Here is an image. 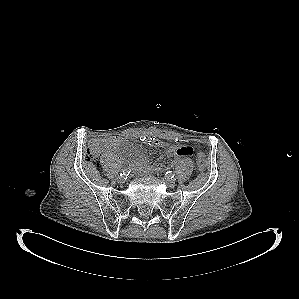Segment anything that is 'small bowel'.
<instances>
[{
	"label": "small bowel",
	"mask_w": 299,
	"mask_h": 299,
	"mask_svg": "<svg viewBox=\"0 0 299 299\" xmlns=\"http://www.w3.org/2000/svg\"><path fill=\"white\" fill-rule=\"evenodd\" d=\"M120 141V139H109L106 141L104 148L108 151L116 152L118 151ZM143 141L149 145L166 149L167 155L170 158L196 156L195 150L189 145H171L168 142L163 141L155 136L144 137ZM119 159L125 160V156L119 154ZM128 162L133 170L138 173H149L154 170L153 167L149 164L148 158L139 150L132 151Z\"/></svg>",
	"instance_id": "obj_1"
}]
</instances>
